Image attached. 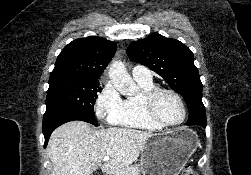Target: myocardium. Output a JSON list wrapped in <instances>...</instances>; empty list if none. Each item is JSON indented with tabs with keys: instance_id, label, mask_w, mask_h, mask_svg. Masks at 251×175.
<instances>
[{
	"instance_id": "myocardium-1",
	"label": "myocardium",
	"mask_w": 251,
	"mask_h": 175,
	"mask_svg": "<svg viewBox=\"0 0 251 175\" xmlns=\"http://www.w3.org/2000/svg\"><path fill=\"white\" fill-rule=\"evenodd\" d=\"M162 92L173 93L179 100L180 104L182 105L184 115H183L182 121L177 125L166 124L159 118V116L157 115L155 111V100L157 96ZM140 102H141L142 109L145 112V114L148 116V118L162 129H170V130L179 129V128L184 127L188 121L189 110H188L187 104L182 94L174 88L154 87L149 91L142 92Z\"/></svg>"
}]
</instances>
